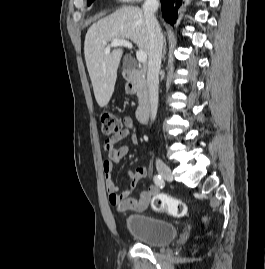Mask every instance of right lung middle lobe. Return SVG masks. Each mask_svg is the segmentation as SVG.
I'll return each mask as SVG.
<instances>
[{
  "instance_id": "dd1d6c3e",
  "label": "right lung middle lobe",
  "mask_w": 265,
  "mask_h": 269,
  "mask_svg": "<svg viewBox=\"0 0 265 269\" xmlns=\"http://www.w3.org/2000/svg\"><path fill=\"white\" fill-rule=\"evenodd\" d=\"M94 0H88V5H90Z\"/></svg>"
}]
</instances>
